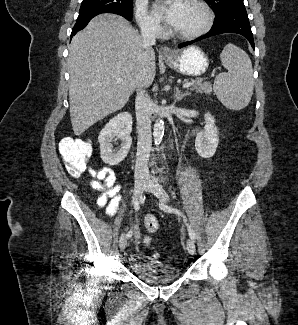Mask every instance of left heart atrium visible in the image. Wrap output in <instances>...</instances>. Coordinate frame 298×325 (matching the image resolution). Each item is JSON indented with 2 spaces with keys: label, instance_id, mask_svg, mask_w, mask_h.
Here are the masks:
<instances>
[{
  "label": "left heart atrium",
  "instance_id": "39dd6f15",
  "mask_svg": "<svg viewBox=\"0 0 298 325\" xmlns=\"http://www.w3.org/2000/svg\"><path fill=\"white\" fill-rule=\"evenodd\" d=\"M180 11V2L177 0L159 1L155 5V15L168 25H172Z\"/></svg>",
  "mask_w": 298,
  "mask_h": 325
}]
</instances>
